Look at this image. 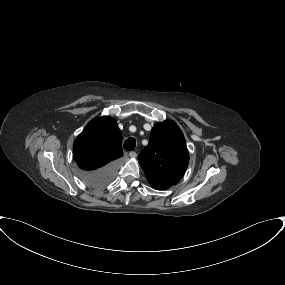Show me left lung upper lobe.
I'll list each match as a JSON object with an SVG mask.
<instances>
[{
	"label": "left lung upper lobe",
	"mask_w": 285,
	"mask_h": 285,
	"mask_svg": "<svg viewBox=\"0 0 285 285\" xmlns=\"http://www.w3.org/2000/svg\"><path fill=\"white\" fill-rule=\"evenodd\" d=\"M138 161L154 189H168L179 182L187 169L189 154L178 125L171 120L158 123Z\"/></svg>",
	"instance_id": "1"
}]
</instances>
